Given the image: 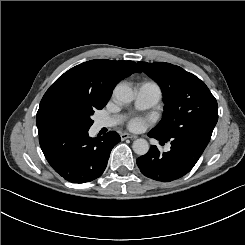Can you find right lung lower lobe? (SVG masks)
Segmentation results:
<instances>
[{
  "instance_id": "right-lung-lower-lobe-1",
  "label": "right lung lower lobe",
  "mask_w": 245,
  "mask_h": 245,
  "mask_svg": "<svg viewBox=\"0 0 245 245\" xmlns=\"http://www.w3.org/2000/svg\"><path fill=\"white\" fill-rule=\"evenodd\" d=\"M120 140L114 131L91 138L88 129H56L39 134V143L47 161L71 183L90 182L100 177L112 148Z\"/></svg>"
}]
</instances>
